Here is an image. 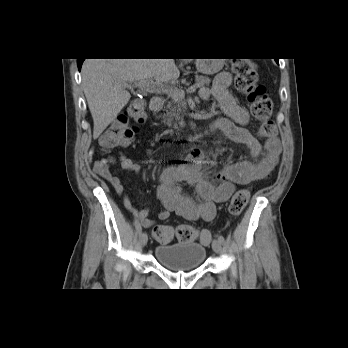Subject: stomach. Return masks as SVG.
<instances>
[{"label":"stomach","mask_w":348,"mask_h":348,"mask_svg":"<svg viewBox=\"0 0 348 348\" xmlns=\"http://www.w3.org/2000/svg\"><path fill=\"white\" fill-rule=\"evenodd\" d=\"M224 63V59H197L195 62L197 70L205 75H212L219 72Z\"/></svg>","instance_id":"stomach-1"}]
</instances>
